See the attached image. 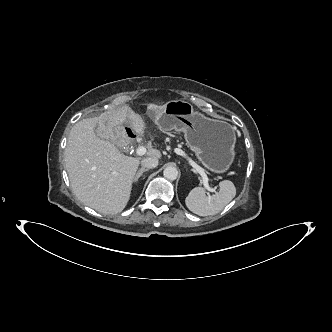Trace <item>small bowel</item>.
I'll use <instances>...</instances> for the list:
<instances>
[{"label":"small bowel","instance_id":"small-bowel-1","mask_svg":"<svg viewBox=\"0 0 332 332\" xmlns=\"http://www.w3.org/2000/svg\"><path fill=\"white\" fill-rule=\"evenodd\" d=\"M134 129L140 135H143L146 130L145 125L142 121H138L137 124L134 125Z\"/></svg>","mask_w":332,"mask_h":332}]
</instances>
